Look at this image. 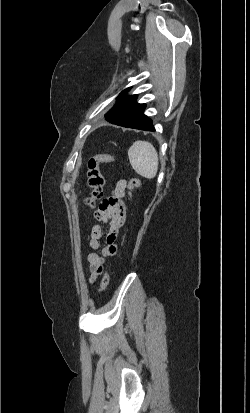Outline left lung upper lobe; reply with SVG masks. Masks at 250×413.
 Here are the masks:
<instances>
[{"label":"left lung upper lobe","instance_id":"5c2ea615","mask_svg":"<svg viewBox=\"0 0 250 413\" xmlns=\"http://www.w3.org/2000/svg\"><path fill=\"white\" fill-rule=\"evenodd\" d=\"M128 90H129V88H127L126 90L122 91V92L119 94L118 98H121L124 94L127 93ZM124 98H125V97H124ZM124 98H123V99H124ZM123 99H121L120 101H118V102L105 114V117H108V116H110L111 114L117 112V111L119 110V108H120V104H121V102H122Z\"/></svg>","mask_w":250,"mask_h":413}]
</instances>
